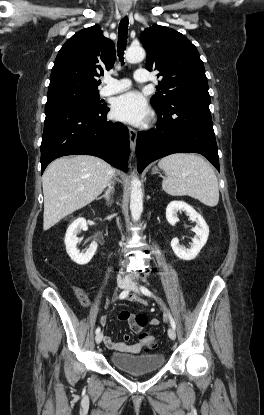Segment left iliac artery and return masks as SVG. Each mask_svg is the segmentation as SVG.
<instances>
[{"label":"left iliac artery","mask_w":264,"mask_h":415,"mask_svg":"<svg viewBox=\"0 0 264 415\" xmlns=\"http://www.w3.org/2000/svg\"><path fill=\"white\" fill-rule=\"evenodd\" d=\"M141 291H142V293L143 294H145L146 296H149V297H151V296H153V294H152V292L148 289V288H146V287H144V286H141ZM168 316H169V319H170V324H171V326H172V328H176V324H175V321H174V319H173V317H172V315L168 312Z\"/></svg>","instance_id":"left-iliac-artery-1"}]
</instances>
